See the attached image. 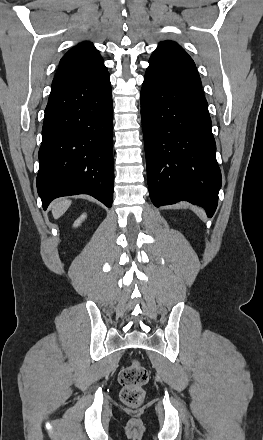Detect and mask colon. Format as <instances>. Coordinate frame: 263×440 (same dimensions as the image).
<instances>
[{
    "label": "colon",
    "instance_id": "5ec220e1",
    "mask_svg": "<svg viewBox=\"0 0 263 440\" xmlns=\"http://www.w3.org/2000/svg\"><path fill=\"white\" fill-rule=\"evenodd\" d=\"M148 380L149 372L142 363L136 360L129 362L119 373L121 401L129 407L140 406L145 398L143 387Z\"/></svg>",
    "mask_w": 263,
    "mask_h": 440
}]
</instances>
